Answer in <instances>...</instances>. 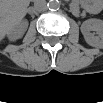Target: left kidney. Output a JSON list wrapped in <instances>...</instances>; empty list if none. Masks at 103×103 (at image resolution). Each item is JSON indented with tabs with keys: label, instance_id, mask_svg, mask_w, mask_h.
<instances>
[{
	"label": "left kidney",
	"instance_id": "5707ae66",
	"mask_svg": "<svg viewBox=\"0 0 103 103\" xmlns=\"http://www.w3.org/2000/svg\"><path fill=\"white\" fill-rule=\"evenodd\" d=\"M96 31L97 36L90 33ZM81 32L87 44L92 47L101 48L103 46V21L100 19L92 18L84 21L81 25Z\"/></svg>",
	"mask_w": 103,
	"mask_h": 103
}]
</instances>
